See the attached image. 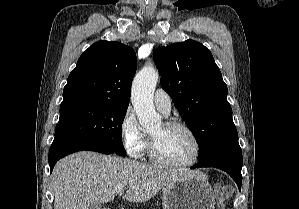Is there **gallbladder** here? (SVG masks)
Masks as SVG:
<instances>
[{
  "instance_id": "obj_1",
  "label": "gallbladder",
  "mask_w": 299,
  "mask_h": 209,
  "mask_svg": "<svg viewBox=\"0 0 299 209\" xmlns=\"http://www.w3.org/2000/svg\"><path fill=\"white\" fill-rule=\"evenodd\" d=\"M88 209H101L99 203H93L89 205Z\"/></svg>"
}]
</instances>
